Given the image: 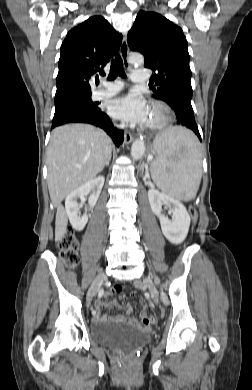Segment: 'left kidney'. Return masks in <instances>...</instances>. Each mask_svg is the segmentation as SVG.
<instances>
[{
  "instance_id": "5707ae66",
  "label": "left kidney",
  "mask_w": 252,
  "mask_h": 390,
  "mask_svg": "<svg viewBox=\"0 0 252 390\" xmlns=\"http://www.w3.org/2000/svg\"><path fill=\"white\" fill-rule=\"evenodd\" d=\"M148 199L153 213L160 220L161 230L166 239L172 244L182 243L188 234L191 221L184 205L179 200L161 193L155 188L149 189ZM163 205L171 209L172 220L162 214Z\"/></svg>"
}]
</instances>
